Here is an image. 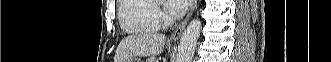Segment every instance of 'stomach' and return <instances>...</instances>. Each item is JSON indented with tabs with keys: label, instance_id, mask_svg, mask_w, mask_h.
I'll return each mask as SVG.
<instances>
[{
	"label": "stomach",
	"instance_id": "1",
	"mask_svg": "<svg viewBox=\"0 0 331 62\" xmlns=\"http://www.w3.org/2000/svg\"><path fill=\"white\" fill-rule=\"evenodd\" d=\"M129 62H143L140 58H133Z\"/></svg>",
	"mask_w": 331,
	"mask_h": 62
}]
</instances>
